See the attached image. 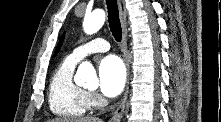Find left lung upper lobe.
I'll use <instances>...</instances> for the list:
<instances>
[{"label":"left lung upper lobe","instance_id":"5c2ea615","mask_svg":"<svg viewBox=\"0 0 221 122\" xmlns=\"http://www.w3.org/2000/svg\"><path fill=\"white\" fill-rule=\"evenodd\" d=\"M63 39H64V35L61 37V39H60V41H59V43H58V45H57V48H56V50H55V55H56L57 52L59 51V49H60V47H61V45H62Z\"/></svg>","mask_w":221,"mask_h":122}]
</instances>
